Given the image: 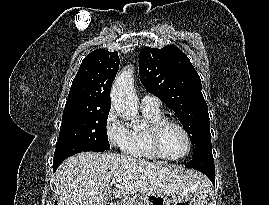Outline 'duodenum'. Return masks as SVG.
<instances>
[{
	"instance_id": "obj_1",
	"label": "duodenum",
	"mask_w": 269,
	"mask_h": 205,
	"mask_svg": "<svg viewBox=\"0 0 269 205\" xmlns=\"http://www.w3.org/2000/svg\"><path fill=\"white\" fill-rule=\"evenodd\" d=\"M106 205H116L115 203H108V204H106Z\"/></svg>"
}]
</instances>
